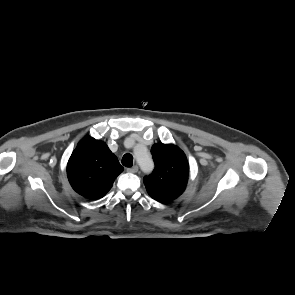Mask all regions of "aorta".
Wrapping results in <instances>:
<instances>
[{"label":"aorta","mask_w":295,"mask_h":295,"mask_svg":"<svg viewBox=\"0 0 295 295\" xmlns=\"http://www.w3.org/2000/svg\"><path fill=\"white\" fill-rule=\"evenodd\" d=\"M134 157L143 172L148 173L153 169L154 164L150 153L144 146H137L134 149Z\"/></svg>","instance_id":"aorta-1"}]
</instances>
